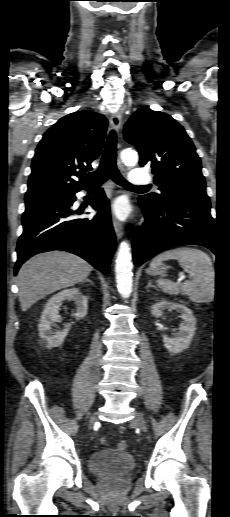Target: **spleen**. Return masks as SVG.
<instances>
[{
  "instance_id": "3e777b00",
  "label": "spleen",
  "mask_w": 230,
  "mask_h": 517,
  "mask_svg": "<svg viewBox=\"0 0 230 517\" xmlns=\"http://www.w3.org/2000/svg\"><path fill=\"white\" fill-rule=\"evenodd\" d=\"M176 259L192 280L182 283L179 287L170 280H158V287L170 295H187L193 302H210L215 296V270L209 256L198 249L176 248L156 256L151 269L159 267L164 260Z\"/></svg>"
}]
</instances>
